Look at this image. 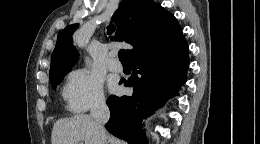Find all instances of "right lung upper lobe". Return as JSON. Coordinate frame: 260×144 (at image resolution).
Here are the masks:
<instances>
[{"mask_svg":"<svg viewBox=\"0 0 260 144\" xmlns=\"http://www.w3.org/2000/svg\"><path fill=\"white\" fill-rule=\"evenodd\" d=\"M112 21L117 25L114 40H125L134 47L127 50L128 57L173 41L182 34L174 15L154 0H122ZM78 26V23L69 25L58 34L50 75L71 69L78 60V51L72 43V34Z\"/></svg>","mask_w":260,"mask_h":144,"instance_id":"1","label":"right lung upper lobe"}]
</instances>
